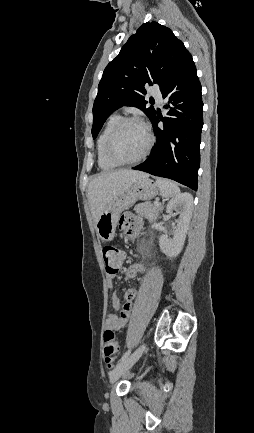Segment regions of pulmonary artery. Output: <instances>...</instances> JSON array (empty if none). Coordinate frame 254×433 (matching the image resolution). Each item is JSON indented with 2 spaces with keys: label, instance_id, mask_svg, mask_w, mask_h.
<instances>
[{
  "label": "pulmonary artery",
  "instance_id": "pulmonary-artery-1",
  "mask_svg": "<svg viewBox=\"0 0 254 433\" xmlns=\"http://www.w3.org/2000/svg\"><path fill=\"white\" fill-rule=\"evenodd\" d=\"M151 95L160 103L162 102V94L157 87H152L150 90Z\"/></svg>",
  "mask_w": 254,
  "mask_h": 433
}]
</instances>
